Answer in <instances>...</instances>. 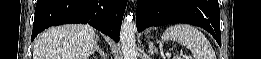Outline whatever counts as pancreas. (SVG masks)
Here are the masks:
<instances>
[{
  "label": "pancreas",
  "mask_w": 261,
  "mask_h": 59,
  "mask_svg": "<svg viewBox=\"0 0 261 59\" xmlns=\"http://www.w3.org/2000/svg\"><path fill=\"white\" fill-rule=\"evenodd\" d=\"M173 59H180V58L176 56V57H174Z\"/></svg>",
  "instance_id": "cf45deb5"
}]
</instances>
